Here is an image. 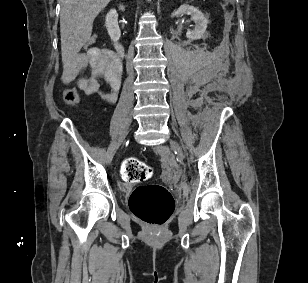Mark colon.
Instances as JSON below:
<instances>
[{"mask_svg":"<svg viewBox=\"0 0 308 283\" xmlns=\"http://www.w3.org/2000/svg\"><path fill=\"white\" fill-rule=\"evenodd\" d=\"M96 42V35H92L85 47L92 49ZM64 101L69 105H76L80 95L76 88H68L63 93ZM124 181L140 183L129 197L131 212L141 221L153 225H164L174 210V199L167 188L158 184H143L152 176V169L137 158H127L121 167Z\"/></svg>","mask_w":308,"mask_h":283,"instance_id":"1","label":"colon"}]
</instances>
